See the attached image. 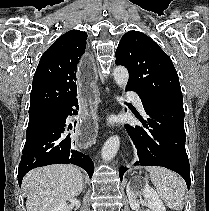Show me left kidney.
Instances as JSON below:
<instances>
[{
    "label": "left kidney",
    "instance_id": "left-kidney-1",
    "mask_svg": "<svg viewBox=\"0 0 209 211\" xmlns=\"http://www.w3.org/2000/svg\"><path fill=\"white\" fill-rule=\"evenodd\" d=\"M127 196L132 210L138 211L140 202L138 196L143 195V202L148 206V211H166L158 194L147 184L141 181L130 182L127 185Z\"/></svg>",
    "mask_w": 209,
    "mask_h": 211
}]
</instances>
